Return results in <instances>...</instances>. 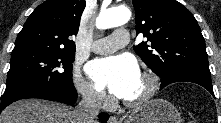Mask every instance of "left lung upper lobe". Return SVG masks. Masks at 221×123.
Wrapping results in <instances>:
<instances>
[{
    "label": "left lung upper lobe",
    "instance_id": "5c2ea615",
    "mask_svg": "<svg viewBox=\"0 0 221 123\" xmlns=\"http://www.w3.org/2000/svg\"><path fill=\"white\" fill-rule=\"evenodd\" d=\"M136 32L146 42L135 53L161 79L186 70L209 73L208 55L194 16L176 0H133Z\"/></svg>",
    "mask_w": 221,
    "mask_h": 123
}]
</instances>
